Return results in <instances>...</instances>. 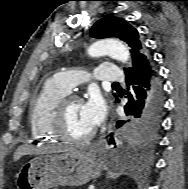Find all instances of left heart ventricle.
<instances>
[{
  "instance_id": "1",
  "label": "left heart ventricle",
  "mask_w": 188,
  "mask_h": 189,
  "mask_svg": "<svg viewBox=\"0 0 188 189\" xmlns=\"http://www.w3.org/2000/svg\"><path fill=\"white\" fill-rule=\"evenodd\" d=\"M65 129L74 137H82L93 129L84 115L83 102H73L68 106Z\"/></svg>"
}]
</instances>
